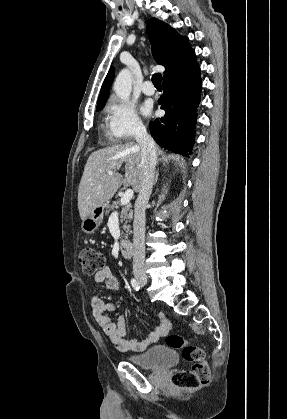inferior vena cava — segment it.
I'll return each instance as SVG.
<instances>
[{
	"instance_id": "602c4592",
	"label": "inferior vena cava",
	"mask_w": 287,
	"mask_h": 419,
	"mask_svg": "<svg viewBox=\"0 0 287 419\" xmlns=\"http://www.w3.org/2000/svg\"><path fill=\"white\" fill-rule=\"evenodd\" d=\"M135 139L141 148L143 178L137 200L133 222V273L135 277H146L145 272V210L155 180L157 150L154 140L148 135L146 128L139 125L135 131Z\"/></svg>"
}]
</instances>
